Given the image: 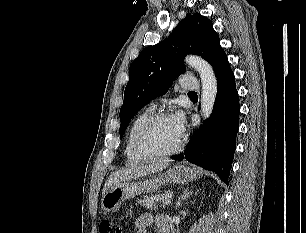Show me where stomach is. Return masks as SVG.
I'll return each instance as SVG.
<instances>
[{
  "mask_svg": "<svg viewBox=\"0 0 306 233\" xmlns=\"http://www.w3.org/2000/svg\"><path fill=\"white\" fill-rule=\"evenodd\" d=\"M200 171L177 164L164 173L152 174L148 179L121 181L114 184L102 195L101 205L106 212L119 210L121 203L143 192L157 191L165 184H185L199 178Z\"/></svg>",
  "mask_w": 306,
  "mask_h": 233,
  "instance_id": "0dacf381",
  "label": "stomach"
}]
</instances>
